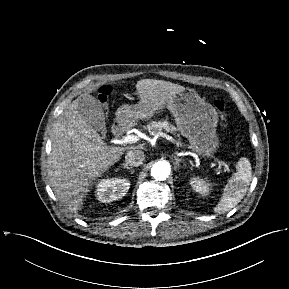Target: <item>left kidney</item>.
Segmentation results:
<instances>
[{
  "label": "left kidney",
  "mask_w": 289,
  "mask_h": 289,
  "mask_svg": "<svg viewBox=\"0 0 289 289\" xmlns=\"http://www.w3.org/2000/svg\"><path fill=\"white\" fill-rule=\"evenodd\" d=\"M190 185L192 186L193 190L200 193L202 196H206L209 193L210 183L204 179L193 177L190 179Z\"/></svg>",
  "instance_id": "1"
}]
</instances>
